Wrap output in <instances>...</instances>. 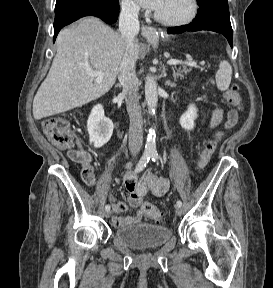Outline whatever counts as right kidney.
<instances>
[{
  "instance_id": "right-kidney-1",
  "label": "right kidney",
  "mask_w": 273,
  "mask_h": 288,
  "mask_svg": "<svg viewBox=\"0 0 273 288\" xmlns=\"http://www.w3.org/2000/svg\"><path fill=\"white\" fill-rule=\"evenodd\" d=\"M113 128V122L104 115L103 106H94L87 121V130L95 148L102 147L110 140Z\"/></svg>"
}]
</instances>
